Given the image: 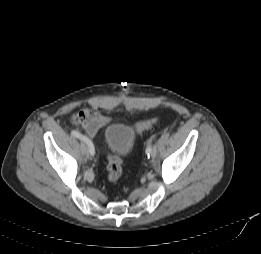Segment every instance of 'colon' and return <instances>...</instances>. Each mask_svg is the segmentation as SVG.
Returning a JSON list of instances; mask_svg holds the SVG:
<instances>
[{
  "mask_svg": "<svg viewBox=\"0 0 261 254\" xmlns=\"http://www.w3.org/2000/svg\"><path fill=\"white\" fill-rule=\"evenodd\" d=\"M157 123L155 118L142 121L137 124L136 130L143 132L149 130ZM122 175V160L116 154H109L107 161V178L111 184H116Z\"/></svg>",
  "mask_w": 261,
  "mask_h": 254,
  "instance_id": "colon-1",
  "label": "colon"
}]
</instances>
